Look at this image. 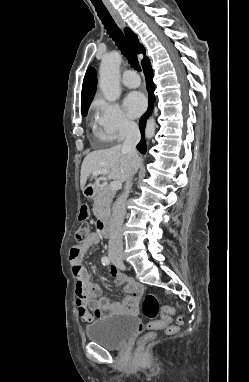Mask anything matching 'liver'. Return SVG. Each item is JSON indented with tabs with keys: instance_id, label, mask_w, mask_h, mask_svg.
Instances as JSON below:
<instances>
[{
	"instance_id": "6515ba94",
	"label": "liver",
	"mask_w": 249,
	"mask_h": 382,
	"mask_svg": "<svg viewBox=\"0 0 249 382\" xmlns=\"http://www.w3.org/2000/svg\"><path fill=\"white\" fill-rule=\"evenodd\" d=\"M140 157L138 156V165ZM132 160L122 145L118 144L108 149L96 150L89 153L81 166L80 186L82 191L90 175L99 169H107L110 179L124 182L130 175ZM95 176V175H93Z\"/></svg>"
}]
</instances>
